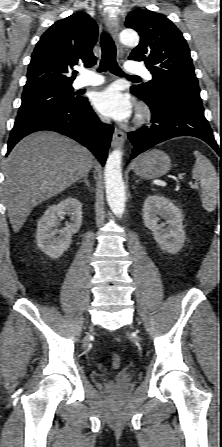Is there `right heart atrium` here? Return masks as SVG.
<instances>
[{
  "mask_svg": "<svg viewBox=\"0 0 222 447\" xmlns=\"http://www.w3.org/2000/svg\"><path fill=\"white\" fill-rule=\"evenodd\" d=\"M96 122H97L98 124L102 125V124L105 123V118H104L103 116H101V115H97V116H96Z\"/></svg>",
  "mask_w": 222,
  "mask_h": 447,
  "instance_id": "d8ad5b80",
  "label": "right heart atrium"
}]
</instances>
